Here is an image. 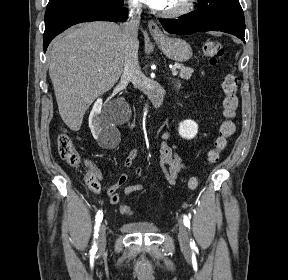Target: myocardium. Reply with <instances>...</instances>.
Segmentation results:
<instances>
[{
    "label": "myocardium",
    "mask_w": 288,
    "mask_h": 280,
    "mask_svg": "<svg viewBox=\"0 0 288 280\" xmlns=\"http://www.w3.org/2000/svg\"><path fill=\"white\" fill-rule=\"evenodd\" d=\"M197 0H185L182 6L170 11H163L161 14L167 18H179L189 14L195 7Z\"/></svg>",
    "instance_id": "obj_1"
}]
</instances>
